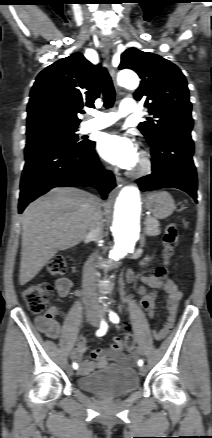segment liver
I'll return each instance as SVG.
<instances>
[{
    "instance_id": "obj_1",
    "label": "liver",
    "mask_w": 212,
    "mask_h": 438,
    "mask_svg": "<svg viewBox=\"0 0 212 438\" xmlns=\"http://www.w3.org/2000/svg\"><path fill=\"white\" fill-rule=\"evenodd\" d=\"M98 204L99 199L86 191L58 187L27 206L21 217V285L32 280L58 251L86 237Z\"/></svg>"
}]
</instances>
